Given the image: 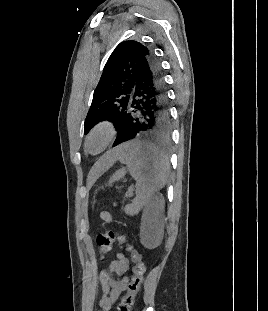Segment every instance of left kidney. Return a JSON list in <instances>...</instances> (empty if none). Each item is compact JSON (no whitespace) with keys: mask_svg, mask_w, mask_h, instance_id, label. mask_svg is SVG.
<instances>
[{"mask_svg":"<svg viewBox=\"0 0 268 311\" xmlns=\"http://www.w3.org/2000/svg\"><path fill=\"white\" fill-rule=\"evenodd\" d=\"M163 210L164 199L162 195L154 197L144 210L140 226V242L148 248L158 247L163 238Z\"/></svg>","mask_w":268,"mask_h":311,"instance_id":"5707ae66","label":"left kidney"}]
</instances>
